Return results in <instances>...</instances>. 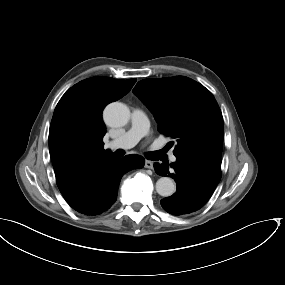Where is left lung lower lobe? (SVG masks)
Here are the masks:
<instances>
[{
	"label": "left lung lower lobe",
	"instance_id": "obj_1",
	"mask_svg": "<svg viewBox=\"0 0 285 285\" xmlns=\"http://www.w3.org/2000/svg\"><path fill=\"white\" fill-rule=\"evenodd\" d=\"M169 164L155 163L161 176L170 175L177 183L176 194L161 200L165 211L173 215H187L198 211L212 196L221 179V164L191 157H176Z\"/></svg>",
	"mask_w": 285,
	"mask_h": 285
}]
</instances>
